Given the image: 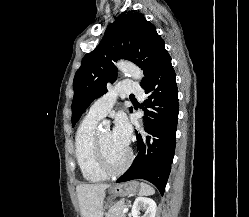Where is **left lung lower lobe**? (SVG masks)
<instances>
[{
  "label": "left lung lower lobe",
  "instance_id": "0a47b994",
  "mask_svg": "<svg viewBox=\"0 0 249 217\" xmlns=\"http://www.w3.org/2000/svg\"><path fill=\"white\" fill-rule=\"evenodd\" d=\"M175 71L168 56L144 88L148 99L143 103L150 110L145 119L149 134L145 143L137 134L138 155L131 167L116 181L144 179L153 183L163 195L170 174L176 144L178 90Z\"/></svg>",
  "mask_w": 249,
  "mask_h": 217
}]
</instances>
